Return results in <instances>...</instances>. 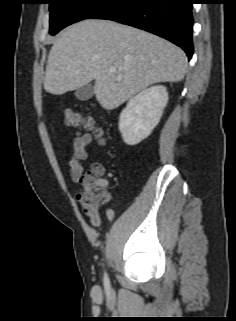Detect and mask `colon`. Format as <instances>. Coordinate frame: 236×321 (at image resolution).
<instances>
[{"label":"colon","instance_id":"1","mask_svg":"<svg viewBox=\"0 0 236 321\" xmlns=\"http://www.w3.org/2000/svg\"><path fill=\"white\" fill-rule=\"evenodd\" d=\"M65 123L73 128H85L92 131L100 143H104V130L96 123L92 116H83L73 110L65 111ZM104 169L99 164H93L85 175L81 187L77 190V196L93 207H100L109 201V195L106 188L101 183L100 176Z\"/></svg>","mask_w":236,"mask_h":321}]
</instances>
